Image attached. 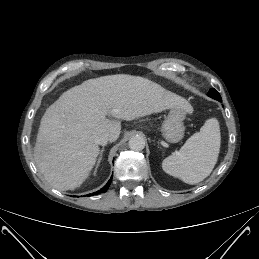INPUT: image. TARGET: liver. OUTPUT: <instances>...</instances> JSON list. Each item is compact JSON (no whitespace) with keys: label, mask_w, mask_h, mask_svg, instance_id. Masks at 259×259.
Returning a JSON list of instances; mask_svg holds the SVG:
<instances>
[{"label":"liver","mask_w":259,"mask_h":259,"mask_svg":"<svg viewBox=\"0 0 259 259\" xmlns=\"http://www.w3.org/2000/svg\"><path fill=\"white\" fill-rule=\"evenodd\" d=\"M172 108L192 111L186 99L140 76L86 80L47 108L34 148L36 166L55 189L74 190L96 163L98 134L107 132L114 142L121 133L120 119L130 121Z\"/></svg>","instance_id":"1"}]
</instances>
